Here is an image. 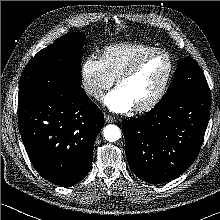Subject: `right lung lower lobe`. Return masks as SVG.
<instances>
[{"instance_id":"98d812e1","label":"right lung lower lobe","mask_w":220,"mask_h":220,"mask_svg":"<svg viewBox=\"0 0 220 220\" xmlns=\"http://www.w3.org/2000/svg\"><path fill=\"white\" fill-rule=\"evenodd\" d=\"M19 130L37 172L60 186H72L89 172L104 115L85 91L18 100Z\"/></svg>"}]
</instances>
